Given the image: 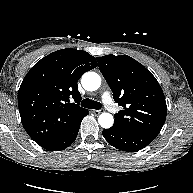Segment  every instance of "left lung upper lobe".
Instances as JSON below:
<instances>
[{"label":"left lung upper lobe","mask_w":193,"mask_h":193,"mask_svg":"<svg viewBox=\"0 0 193 193\" xmlns=\"http://www.w3.org/2000/svg\"><path fill=\"white\" fill-rule=\"evenodd\" d=\"M97 61L115 101L124 107L115 114L113 127L127 133L159 132L167 106L153 74L127 55H105Z\"/></svg>","instance_id":"5c2ea615"}]
</instances>
